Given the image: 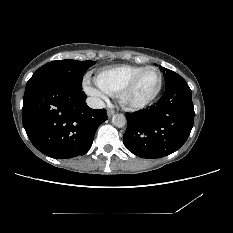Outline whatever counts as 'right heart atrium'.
I'll return each mask as SVG.
<instances>
[{
	"label": "right heart atrium",
	"instance_id": "1",
	"mask_svg": "<svg viewBox=\"0 0 233 233\" xmlns=\"http://www.w3.org/2000/svg\"><path fill=\"white\" fill-rule=\"evenodd\" d=\"M84 89L86 93L91 96L96 103H102L106 100V93L103 92L99 87L93 85L88 78H85L84 80Z\"/></svg>",
	"mask_w": 233,
	"mask_h": 233
}]
</instances>
